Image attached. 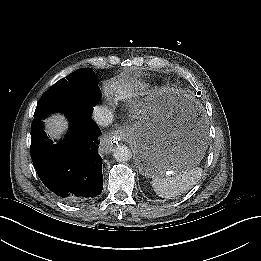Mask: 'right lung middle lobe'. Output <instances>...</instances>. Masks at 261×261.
Listing matches in <instances>:
<instances>
[{
	"instance_id": "1",
	"label": "right lung middle lobe",
	"mask_w": 261,
	"mask_h": 261,
	"mask_svg": "<svg viewBox=\"0 0 261 261\" xmlns=\"http://www.w3.org/2000/svg\"><path fill=\"white\" fill-rule=\"evenodd\" d=\"M101 99L97 78L91 68L78 69L54 84L40 99L34 120L53 111L69 113L77 107L93 108Z\"/></svg>"
}]
</instances>
